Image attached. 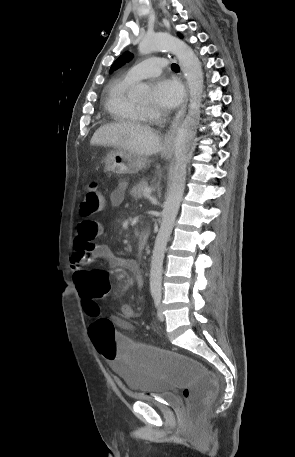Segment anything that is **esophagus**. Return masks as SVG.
<instances>
[{
  "label": "esophagus",
  "mask_w": 295,
  "mask_h": 457,
  "mask_svg": "<svg viewBox=\"0 0 295 457\" xmlns=\"http://www.w3.org/2000/svg\"><path fill=\"white\" fill-rule=\"evenodd\" d=\"M185 92L186 93H185L184 103H183L181 109L176 114V116L172 122L171 128L165 137V142H164V147H163V151L165 153L172 152L174 141H175V136H176L178 128L181 125V122L185 116L187 102H188V87H187L186 83H185Z\"/></svg>",
  "instance_id": "esophagus-1"
}]
</instances>
